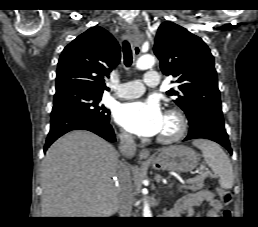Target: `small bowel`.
<instances>
[{
    "label": "small bowel",
    "mask_w": 258,
    "mask_h": 227,
    "mask_svg": "<svg viewBox=\"0 0 258 227\" xmlns=\"http://www.w3.org/2000/svg\"><path fill=\"white\" fill-rule=\"evenodd\" d=\"M202 202L208 204L206 212L202 214L204 217H216L222 208V204L215 198L212 191L201 190L182 199L170 212V215L186 214L191 217L199 215L194 211L193 207Z\"/></svg>",
    "instance_id": "obj_1"
}]
</instances>
